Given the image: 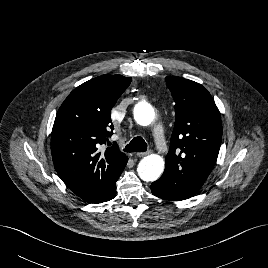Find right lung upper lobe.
Listing matches in <instances>:
<instances>
[{"instance_id": "1", "label": "right lung upper lobe", "mask_w": 268, "mask_h": 268, "mask_svg": "<svg viewBox=\"0 0 268 268\" xmlns=\"http://www.w3.org/2000/svg\"><path fill=\"white\" fill-rule=\"evenodd\" d=\"M130 77L102 75L75 88L62 103L51 134L53 164L67 187L84 201L98 203L125 167L113 134L110 111L131 83Z\"/></svg>"}]
</instances>
